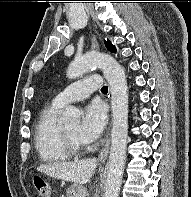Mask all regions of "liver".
Masks as SVG:
<instances>
[{
    "mask_svg": "<svg viewBox=\"0 0 191 197\" xmlns=\"http://www.w3.org/2000/svg\"><path fill=\"white\" fill-rule=\"evenodd\" d=\"M96 165L97 160L95 158H89L72 162L42 165L37 170L57 179L84 185L94 174Z\"/></svg>",
    "mask_w": 191,
    "mask_h": 197,
    "instance_id": "obj_1",
    "label": "liver"
}]
</instances>
